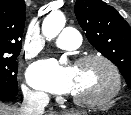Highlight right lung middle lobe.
Returning a JSON list of instances; mask_svg holds the SVG:
<instances>
[{"label":"right lung middle lobe","mask_w":131,"mask_h":115,"mask_svg":"<svg viewBox=\"0 0 131 115\" xmlns=\"http://www.w3.org/2000/svg\"><path fill=\"white\" fill-rule=\"evenodd\" d=\"M20 52L0 53V95L14 97L18 92L16 61Z\"/></svg>","instance_id":"1"}]
</instances>
